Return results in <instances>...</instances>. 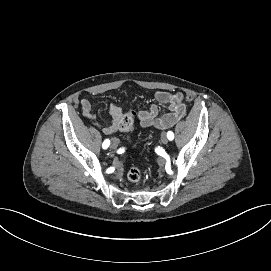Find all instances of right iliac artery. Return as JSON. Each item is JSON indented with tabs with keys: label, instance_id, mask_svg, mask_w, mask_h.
Here are the masks:
<instances>
[{
	"label": "right iliac artery",
	"instance_id": "82829eb1",
	"mask_svg": "<svg viewBox=\"0 0 271 271\" xmlns=\"http://www.w3.org/2000/svg\"><path fill=\"white\" fill-rule=\"evenodd\" d=\"M110 145V140L109 139H106L103 144H102V147L103 149H107Z\"/></svg>",
	"mask_w": 271,
	"mask_h": 271
}]
</instances>
